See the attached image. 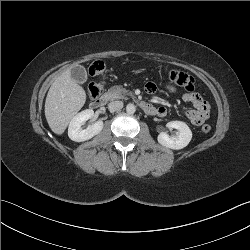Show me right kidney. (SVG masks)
Masks as SVG:
<instances>
[{
	"mask_svg": "<svg viewBox=\"0 0 250 250\" xmlns=\"http://www.w3.org/2000/svg\"><path fill=\"white\" fill-rule=\"evenodd\" d=\"M93 116L94 111L92 109L83 110L74 116L68 128L69 138L75 142H84L98 135L103 129V121L101 120L89 125L86 129L81 127L85 121L93 118Z\"/></svg>",
	"mask_w": 250,
	"mask_h": 250,
	"instance_id": "1",
	"label": "right kidney"
}]
</instances>
